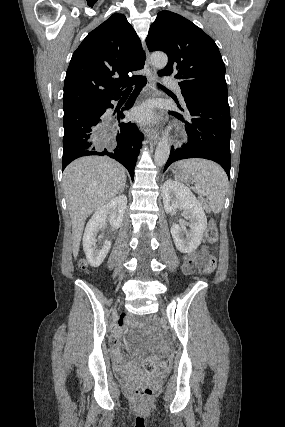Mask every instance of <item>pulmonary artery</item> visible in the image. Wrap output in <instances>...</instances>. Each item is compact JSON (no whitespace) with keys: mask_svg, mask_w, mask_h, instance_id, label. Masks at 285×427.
I'll return each instance as SVG.
<instances>
[{"mask_svg":"<svg viewBox=\"0 0 285 427\" xmlns=\"http://www.w3.org/2000/svg\"><path fill=\"white\" fill-rule=\"evenodd\" d=\"M164 83L166 85L174 86V88L177 90V92H180V88H179V85L177 83V80L167 76L164 78Z\"/></svg>","mask_w":285,"mask_h":427,"instance_id":"obj_1","label":"pulmonary artery"}]
</instances>
